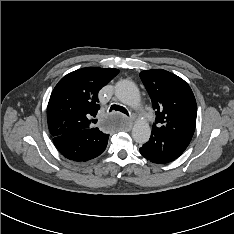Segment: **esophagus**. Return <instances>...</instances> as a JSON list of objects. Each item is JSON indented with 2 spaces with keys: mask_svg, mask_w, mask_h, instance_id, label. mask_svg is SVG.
Returning a JSON list of instances; mask_svg holds the SVG:
<instances>
[{
  "mask_svg": "<svg viewBox=\"0 0 234 234\" xmlns=\"http://www.w3.org/2000/svg\"><path fill=\"white\" fill-rule=\"evenodd\" d=\"M127 124H129V126L131 127L132 121H131V120H128V123H127Z\"/></svg>",
  "mask_w": 234,
  "mask_h": 234,
  "instance_id": "1",
  "label": "esophagus"
}]
</instances>
